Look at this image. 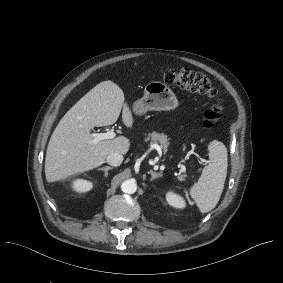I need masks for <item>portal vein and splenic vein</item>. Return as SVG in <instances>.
I'll list each match as a JSON object with an SVG mask.
<instances>
[{
	"mask_svg": "<svg viewBox=\"0 0 283 283\" xmlns=\"http://www.w3.org/2000/svg\"><path fill=\"white\" fill-rule=\"evenodd\" d=\"M117 136L116 132L114 131H108L106 133H97L94 134V139L89 142V144H97L98 142L102 140L107 139H114ZM184 167V165H182Z\"/></svg>",
	"mask_w": 283,
	"mask_h": 283,
	"instance_id": "18ae733b",
	"label": "portal vein and splenic vein"
}]
</instances>
